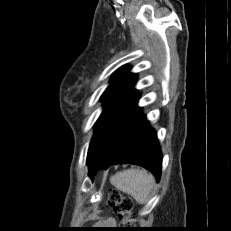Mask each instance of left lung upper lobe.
Returning <instances> with one entry per match:
<instances>
[{"mask_svg": "<svg viewBox=\"0 0 231 231\" xmlns=\"http://www.w3.org/2000/svg\"><path fill=\"white\" fill-rule=\"evenodd\" d=\"M111 82L112 84L101 96L105 109L95 123L96 131L89 147L88 156L109 123L132 101L138 92L133 89L136 74H130L129 67H123L116 71Z\"/></svg>", "mask_w": 231, "mask_h": 231, "instance_id": "1", "label": "left lung upper lobe"}]
</instances>
